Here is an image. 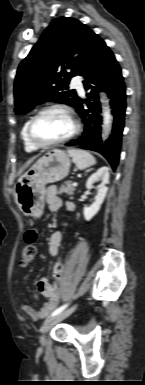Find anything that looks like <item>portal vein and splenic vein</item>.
I'll use <instances>...</instances> for the list:
<instances>
[{"label": "portal vein and splenic vein", "instance_id": "18ae733b", "mask_svg": "<svg viewBox=\"0 0 145 385\" xmlns=\"http://www.w3.org/2000/svg\"><path fill=\"white\" fill-rule=\"evenodd\" d=\"M74 187H76L77 186V182H73V184H72Z\"/></svg>", "mask_w": 145, "mask_h": 385}]
</instances>
